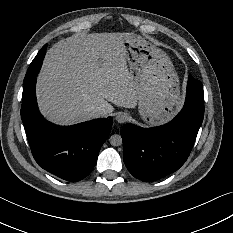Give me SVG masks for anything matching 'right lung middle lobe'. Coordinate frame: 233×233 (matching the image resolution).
Returning a JSON list of instances; mask_svg holds the SVG:
<instances>
[{
  "instance_id": "right-lung-middle-lobe-1",
  "label": "right lung middle lobe",
  "mask_w": 233,
  "mask_h": 233,
  "mask_svg": "<svg viewBox=\"0 0 233 233\" xmlns=\"http://www.w3.org/2000/svg\"><path fill=\"white\" fill-rule=\"evenodd\" d=\"M35 60H36V58L33 60L32 63H34ZM31 67H32V66L30 65V68H29V70H28V72H27V74H26V76H25L24 85H25L26 83H28V82L31 80V77H30V76L33 74V71H32V68H31Z\"/></svg>"
}]
</instances>
